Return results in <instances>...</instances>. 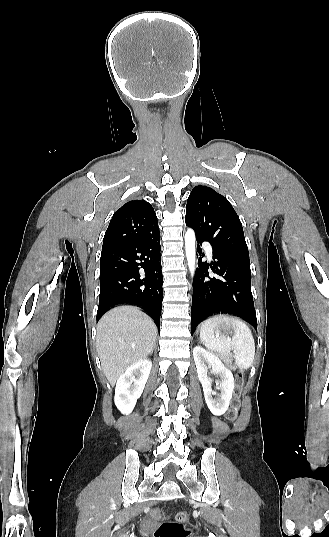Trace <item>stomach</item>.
<instances>
[{"mask_svg": "<svg viewBox=\"0 0 329 537\" xmlns=\"http://www.w3.org/2000/svg\"><path fill=\"white\" fill-rule=\"evenodd\" d=\"M220 318V321L217 325L213 327V333L214 335H220V336H229L234 333V326L231 323L230 316L220 315L217 316Z\"/></svg>", "mask_w": 329, "mask_h": 537, "instance_id": "1", "label": "stomach"}]
</instances>
